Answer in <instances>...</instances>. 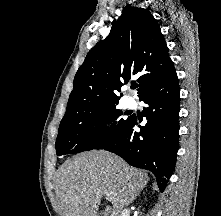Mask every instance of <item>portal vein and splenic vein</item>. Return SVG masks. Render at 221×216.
I'll list each match as a JSON object with an SVG mask.
<instances>
[{
	"mask_svg": "<svg viewBox=\"0 0 221 216\" xmlns=\"http://www.w3.org/2000/svg\"><path fill=\"white\" fill-rule=\"evenodd\" d=\"M107 199H112V196L108 194Z\"/></svg>",
	"mask_w": 221,
	"mask_h": 216,
	"instance_id": "portal-vein-and-splenic-vein-1",
	"label": "portal vein and splenic vein"
}]
</instances>
